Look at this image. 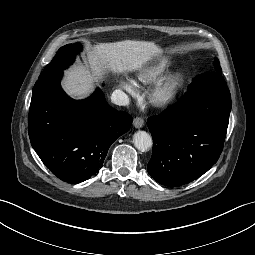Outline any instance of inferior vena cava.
I'll list each match as a JSON object with an SVG mask.
<instances>
[{"label": "inferior vena cava", "mask_w": 255, "mask_h": 255, "mask_svg": "<svg viewBox=\"0 0 255 255\" xmlns=\"http://www.w3.org/2000/svg\"><path fill=\"white\" fill-rule=\"evenodd\" d=\"M112 103L119 105V106H127L129 104L128 96L121 90L117 89L113 91L111 95Z\"/></svg>", "instance_id": "1"}]
</instances>
